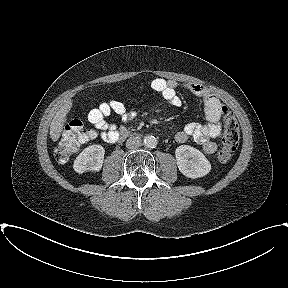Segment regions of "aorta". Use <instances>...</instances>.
Returning a JSON list of instances; mask_svg holds the SVG:
<instances>
[{
	"mask_svg": "<svg viewBox=\"0 0 288 288\" xmlns=\"http://www.w3.org/2000/svg\"><path fill=\"white\" fill-rule=\"evenodd\" d=\"M143 143L148 148H155L158 144L157 138L155 136L147 135L144 137Z\"/></svg>",
	"mask_w": 288,
	"mask_h": 288,
	"instance_id": "aorta-1",
	"label": "aorta"
}]
</instances>
